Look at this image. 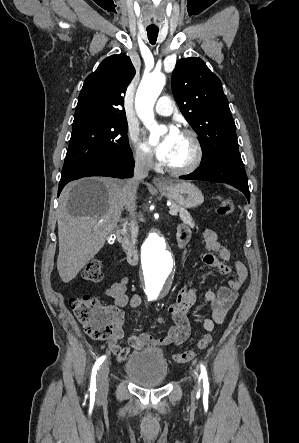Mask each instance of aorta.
Returning a JSON list of instances; mask_svg holds the SVG:
<instances>
[{"mask_svg":"<svg viewBox=\"0 0 299 443\" xmlns=\"http://www.w3.org/2000/svg\"><path fill=\"white\" fill-rule=\"evenodd\" d=\"M165 75L151 73L143 77L136 93L137 114L150 131V141L157 142L167 129L157 126L153 107L165 85ZM142 271L145 294L149 300L164 296L168 288V277L173 269V255L165 237L156 230L150 231L142 247Z\"/></svg>","mask_w":299,"mask_h":443,"instance_id":"obj_1","label":"aorta"}]
</instances>
